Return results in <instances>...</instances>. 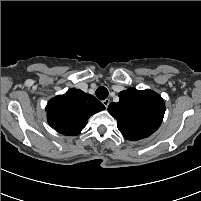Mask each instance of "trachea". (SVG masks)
<instances>
[{
	"label": "trachea",
	"instance_id": "3493384b",
	"mask_svg": "<svg viewBox=\"0 0 201 201\" xmlns=\"http://www.w3.org/2000/svg\"><path fill=\"white\" fill-rule=\"evenodd\" d=\"M108 90L104 86H100L96 90V96L100 100H104L108 97Z\"/></svg>",
	"mask_w": 201,
	"mask_h": 201
}]
</instances>
